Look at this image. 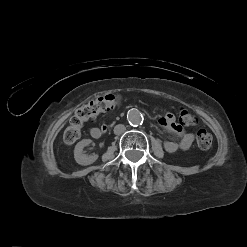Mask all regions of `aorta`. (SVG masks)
Wrapping results in <instances>:
<instances>
[{"instance_id": "762f6f07", "label": "aorta", "mask_w": 247, "mask_h": 247, "mask_svg": "<svg viewBox=\"0 0 247 247\" xmlns=\"http://www.w3.org/2000/svg\"><path fill=\"white\" fill-rule=\"evenodd\" d=\"M127 119L132 126L141 125L143 122V116L137 109H130L127 114Z\"/></svg>"}]
</instances>
